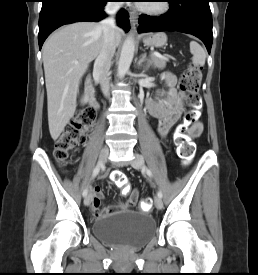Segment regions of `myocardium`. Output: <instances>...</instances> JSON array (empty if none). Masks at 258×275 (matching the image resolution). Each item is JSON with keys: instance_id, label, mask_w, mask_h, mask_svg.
<instances>
[{"instance_id": "obj_1", "label": "myocardium", "mask_w": 258, "mask_h": 275, "mask_svg": "<svg viewBox=\"0 0 258 275\" xmlns=\"http://www.w3.org/2000/svg\"><path fill=\"white\" fill-rule=\"evenodd\" d=\"M138 9L141 12L146 13L148 15L159 16L169 11L170 3L168 0H161L158 6L150 7V6L141 5L138 7Z\"/></svg>"}]
</instances>
